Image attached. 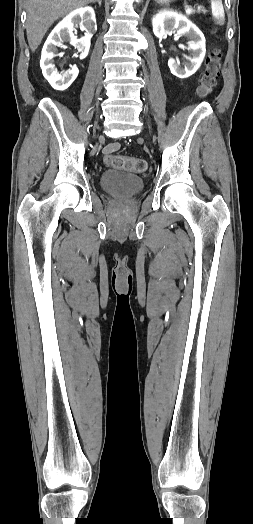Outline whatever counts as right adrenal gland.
I'll list each match as a JSON object with an SVG mask.
<instances>
[{
    "instance_id": "2a0ac1e0",
    "label": "right adrenal gland",
    "mask_w": 253,
    "mask_h": 524,
    "mask_svg": "<svg viewBox=\"0 0 253 524\" xmlns=\"http://www.w3.org/2000/svg\"><path fill=\"white\" fill-rule=\"evenodd\" d=\"M95 2H98L99 6H101V4H102V0H94V3Z\"/></svg>"
}]
</instances>
